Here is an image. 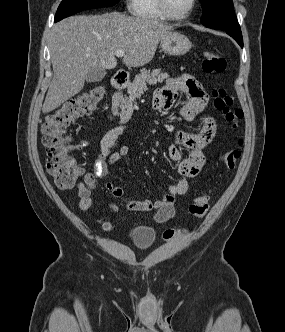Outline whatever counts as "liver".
<instances>
[{
	"label": "liver",
	"mask_w": 285,
	"mask_h": 332,
	"mask_svg": "<svg viewBox=\"0 0 285 332\" xmlns=\"http://www.w3.org/2000/svg\"><path fill=\"white\" fill-rule=\"evenodd\" d=\"M172 28L157 20L118 12L71 16L59 21L52 29L54 74L42 112L49 113L78 94L91 68H115L117 50L125 51L122 62L128 67L149 63L159 41Z\"/></svg>",
	"instance_id": "1"
}]
</instances>
